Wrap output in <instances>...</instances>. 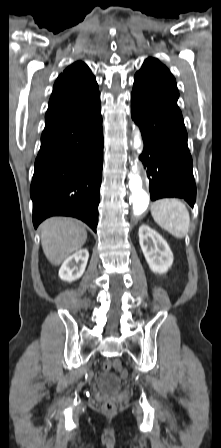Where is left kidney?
Returning a JSON list of instances; mask_svg holds the SVG:
<instances>
[{
  "instance_id": "1",
  "label": "left kidney",
  "mask_w": 221,
  "mask_h": 448,
  "mask_svg": "<svg viewBox=\"0 0 221 448\" xmlns=\"http://www.w3.org/2000/svg\"><path fill=\"white\" fill-rule=\"evenodd\" d=\"M139 242L150 269L164 274L173 264V253L165 239L148 225L139 228Z\"/></svg>"
}]
</instances>
